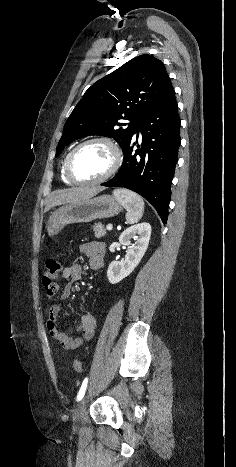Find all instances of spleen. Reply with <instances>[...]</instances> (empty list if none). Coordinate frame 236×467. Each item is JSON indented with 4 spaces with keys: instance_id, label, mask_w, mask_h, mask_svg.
<instances>
[{
    "instance_id": "1",
    "label": "spleen",
    "mask_w": 236,
    "mask_h": 467,
    "mask_svg": "<svg viewBox=\"0 0 236 467\" xmlns=\"http://www.w3.org/2000/svg\"><path fill=\"white\" fill-rule=\"evenodd\" d=\"M117 201L126 208V220L128 224L137 223L144 211V202L142 198L127 189H116L113 191Z\"/></svg>"
}]
</instances>
